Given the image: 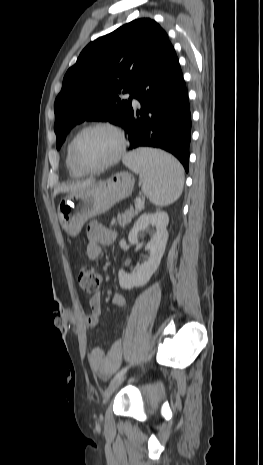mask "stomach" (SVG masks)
<instances>
[{
	"label": "stomach",
	"mask_w": 263,
	"mask_h": 465,
	"mask_svg": "<svg viewBox=\"0 0 263 465\" xmlns=\"http://www.w3.org/2000/svg\"><path fill=\"white\" fill-rule=\"evenodd\" d=\"M134 178L130 173L119 172L105 181L70 192L58 205V218L62 228L71 236L79 234L91 218L108 211L132 193Z\"/></svg>",
	"instance_id": "stomach-1"
}]
</instances>
